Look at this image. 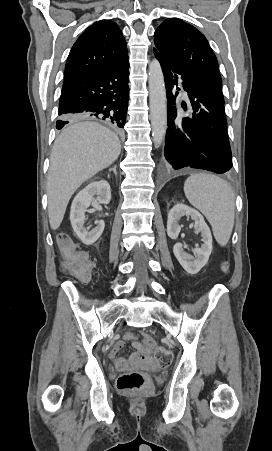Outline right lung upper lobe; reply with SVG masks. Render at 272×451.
<instances>
[{"label": "right lung upper lobe", "mask_w": 272, "mask_h": 451, "mask_svg": "<svg viewBox=\"0 0 272 451\" xmlns=\"http://www.w3.org/2000/svg\"><path fill=\"white\" fill-rule=\"evenodd\" d=\"M127 54L126 42L117 24L100 20L88 27L73 45L64 81L107 68L128 57Z\"/></svg>", "instance_id": "obj_1"}]
</instances>
